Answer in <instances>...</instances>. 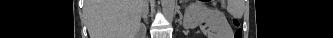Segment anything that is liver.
<instances>
[{"instance_id": "6515ba94", "label": "liver", "mask_w": 333, "mask_h": 38, "mask_svg": "<svg viewBox=\"0 0 333 38\" xmlns=\"http://www.w3.org/2000/svg\"><path fill=\"white\" fill-rule=\"evenodd\" d=\"M90 38H136L143 0H86Z\"/></svg>"}]
</instances>
